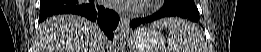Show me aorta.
Instances as JSON below:
<instances>
[{
	"instance_id": "762f6f07",
	"label": "aorta",
	"mask_w": 261,
	"mask_h": 52,
	"mask_svg": "<svg viewBox=\"0 0 261 52\" xmlns=\"http://www.w3.org/2000/svg\"><path fill=\"white\" fill-rule=\"evenodd\" d=\"M123 37H124L123 30H121V29L116 30L114 43H115V45H117V47H116L117 52H121L124 50Z\"/></svg>"
}]
</instances>
